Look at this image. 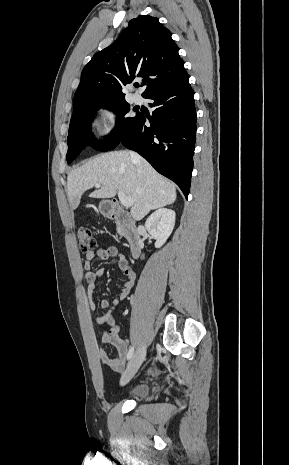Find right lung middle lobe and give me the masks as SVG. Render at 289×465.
Instances as JSON below:
<instances>
[{
	"instance_id": "right-lung-middle-lobe-1",
	"label": "right lung middle lobe",
	"mask_w": 289,
	"mask_h": 465,
	"mask_svg": "<svg viewBox=\"0 0 289 465\" xmlns=\"http://www.w3.org/2000/svg\"><path fill=\"white\" fill-rule=\"evenodd\" d=\"M102 107H107L113 110L117 114L118 120L116 127L111 132L110 138L96 144L97 149L100 151H109L114 149L120 143L121 139L129 133L140 115L139 113H136V116L134 117L127 116V113L130 111V105L125 101V99L96 100L76 106L74 108L75 119L70 124L67 138L68 163H70L78 155V149L82 146H85L86 144L95 145L92 135H90V118L93 112Z\"/></svg>"
}]
</instances>
